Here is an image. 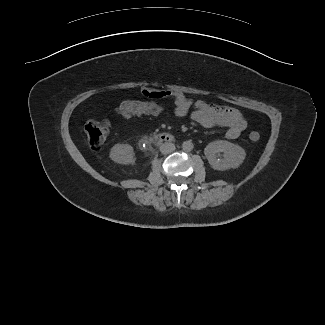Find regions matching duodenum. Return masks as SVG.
<instances>
[{
  "mask_svg": "<svg viewBox=\"0 0 325 325\" xmlns=\"http://www.w3.org/2000/svg\"><path fill=\"white\" fill-rule=\"evenodd\" d=\"M157 142L166 144L174 141V136L170 133H160L154 138ZM144 142H148V139H145Z\"/></svg>",
  "mask_w": 325,
  "mask_h": 325,
  "instance_id": "duodenum-1",
  "label": "duodenum"
}]
</instances>
